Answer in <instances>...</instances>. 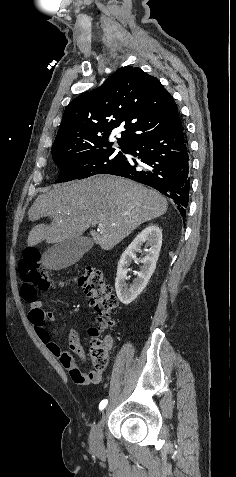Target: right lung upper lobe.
Listing matches in <instances>:
<instances>
[{"mask_svg": "<svg viewBox=\"0 0 236 477\" xmlns=\"http://www.w3.org/2000/svg\"><path fill=\"white\" fill-rule=\"evenodd\" d=\"M178 116L176 103L157 78L140 68L125 66L99 88L69 103L52 156L87 148L113 149L108 138L119 126L125 128L118 138L125 151L131 143L167 129Z\"/></svg>", "mask_w": 236, "mask_h": 477, "instance_id": "right-lung-upper-lobe-1", "label": "right lung upper lobe"}]
</instances>
